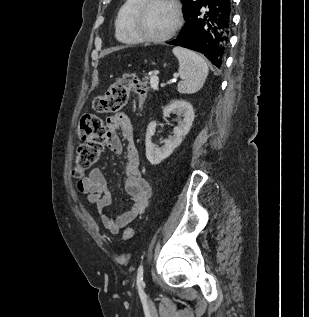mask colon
<instances>
[{
	"instance_id": "obj_1",
	"label": "colon",
	"mask_w": 309,
	"mask_h": 317,
	"mask_svg": "<svg viewBox=\"0 0 309 317\" xmlns=\"http://www.w3.org/2000/svg\"><path fill=\"white\" fill-rule=\"evenodd\" d=\"M130 91L138 95L140 107L143 105L147 87L136 74H124L113 83L108 91L97 96L92 103L95 111L100 113H113L122 109L128 101ZM80 135L82 143L76 150V166L73 175L81 178L85 171L93 166L99 159L104 148L106 130L102 120L94 114H85L80 120ZM124 238L133 237L132 228L125 229Z\"/></svg>"
}]
</instances>
